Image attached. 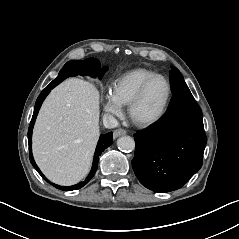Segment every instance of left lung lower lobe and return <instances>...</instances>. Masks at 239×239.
I'll list each match as a JSON object with an SVG mask.
<instances>
[{"mask_svg": "<svg viewBox=\"0 0 239 239\" xmlns=\"http://www.w3.org/2000/svg\"><path fill=\"white\" fill-rule=\"evenodd\" d=\"M132 167L146 188H181L202 166L207 143L202 111L189 89L174 92L167 112L151 128L134 134Z\"/></svg>", "mask_w": 239, "mask_h": 239, "instance_id": "left-lung-lower-lobe-1", "label": "left lung lower lobe"}]
</instances>
